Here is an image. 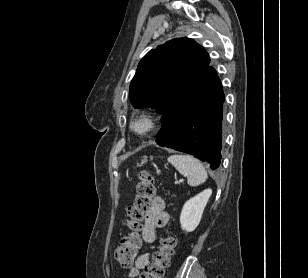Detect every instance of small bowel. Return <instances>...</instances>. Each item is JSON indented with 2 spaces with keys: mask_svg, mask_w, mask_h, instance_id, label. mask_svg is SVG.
<instances>
[{
  "mask_svg": "<svg viewBox=\"0 0 308 278\" xmlns=\"http://www.w3.org/2000/svg\"><path fill=\"white\" fill-rule=\"evenodd\" d=\"M165 208V200L161 196H156L144 218L142 239L145 243L152 244L156 239V229L166 226L169 222V214ZM149 261L150 255L148 253L139 255L135 260L134 267L130 270V277L137 276Z\"/></svg>",
  "mask_w": 308,
  "mask_h": 278,
  "instance_id": "c3829d8e",
  "label": "small bowel"
}]
</instances>
